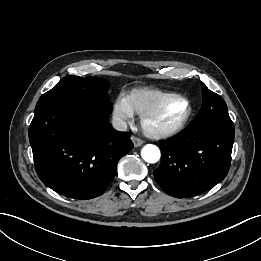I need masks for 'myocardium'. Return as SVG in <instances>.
Wrapping results in <instances>:
<instances>
[{
	"mask_svg": "<svg viewBox=\"0 0 261 261\" xmlns=\"http://www.w3.org/2000/svg\"><path fill=\"white\" fill-rule=\"evenodd\" d=\"M174 100H180L185 102L187 109L183 117L175 124L167 127H158L153 124V121L162 113L164 108ZM192 115V105L188 98L179 94H170L162 101H160L156 106L141 115L140 124L143 132L155 139H162L171 137L178 132H180L185 125L188 123Z\"/></svg>",
	"mask_w": 261,
	"mask_h": 261,
	"instance_id": "obj_1",
	"label": "myocardium"
}]
</instances>
